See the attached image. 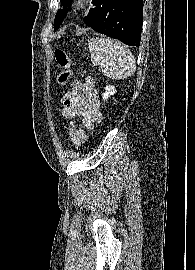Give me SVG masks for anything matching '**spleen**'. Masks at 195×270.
<instances>
[{
	"mask_svg": "<svg viewBox=\"0 0 195 270\" xmlns=\"http://www.w3.org/2000/svg\"><path fill=\"white\" fill-rule=\"evenodd\" d=\"M91 62L110 79H125L136 71V61L130 50L116 41L92 38L88 43Z\"/></svg>",
	"mask_w": 195,
	"mask_h": 270,
	"instance_id": "obj_1",
	"label": "spleen"
}]
</instances>
